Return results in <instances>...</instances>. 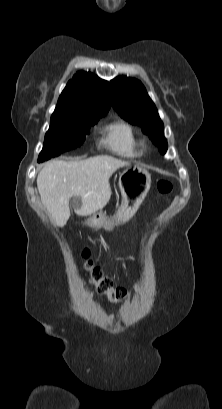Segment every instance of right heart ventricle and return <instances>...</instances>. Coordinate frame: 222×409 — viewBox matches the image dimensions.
<instances>
[{"mask_svg": "<svg viewBox=\"0 0 222 409\" xmlns=\"http://www.w3.org/2000/svg\"><path fill=\"white\" fill-rule=\"evenodd\" d=\"M104 141L122 156L134 158L141 155V142L136 138L133 127L126 122L117 121L109 125Z\"/></svg>", "mask_w": 222, "mask_h": 409, "instance_id": "obj_1", "label": "right heart ventricle"}]
</instances>
